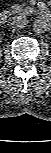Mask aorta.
Returning a JSON list of instances; mask_svg holds the SVG:
<instances>
[{"label": "aorta", "mask_w": 51, "mask_h": 153, "mask_svg": "<svg viewBox=\"0 0 51 153\" xmlns=\"http://www.w3.org/2000/svg\"><path fill=\"white\" fill-rule=\"evenodd\" d=\"M50 29V21L47 18H38L33 22V30L36 33H44Z\"/></svg>", "instance_id": "1"}]
</instances>
